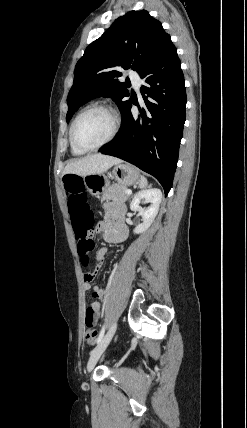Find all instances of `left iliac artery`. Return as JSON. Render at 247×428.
I'll return each mask as SVG.
<instances>
[{
  "mask_svg": "<svg viewBox=\"0 0 247 428\" xmlns=\"http://www.w3.org/2000/svg\"><path fill=\"white\" fill-rule=\"evenodd\" d=\"M104 333H105V325H103V327H102V329H101V331L99 333V336L97 338V343H99L102 340V338L104 336Z\"/></svg>",
  "mask_w": 247,
  "mask_h": 428,
  "instance_id": "44dca946",
  "label": "left iliac artery"
}]
</instances>
